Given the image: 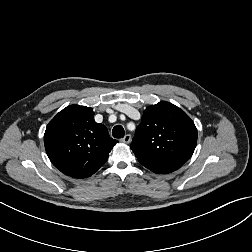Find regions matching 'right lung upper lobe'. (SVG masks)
<instances>
[{"instance_id": "right-lung-upper-lobe-1", "label": "right lung upper lobe", "mask_w": 252, "mask_h": 252, "mask_svg": "<svg viewBox=\"0 0 252 252\" xmlns=\"http://www.w3.org/2000/svg\"><path fill=\"white\" fill-rule=\"evenodd\" d=\"M91 108L70 105L47 125L44 134L46 153L62 173L73 178L94 174L118 142L103 124L94 121Z\"/></svg>"}]
</instances>
